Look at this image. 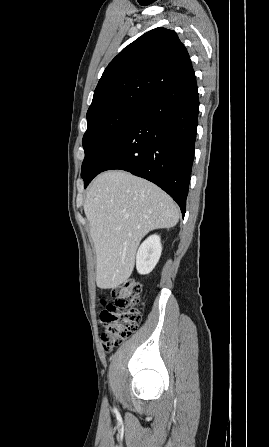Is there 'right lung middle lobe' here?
Listing matches in <instances>:
<instances>
[{"label":"right lung middle lobe","instance_id":"obj_1","mask_svg":"<svg viewBox=\"0 0 269 447\" xmlns=\"http://www.w3.org/2000/svg\"><path fill=\"white\" fill-rule=\"evenodd\" d=\"M143 105L124 106L88 119V128L83 136L85 158L81 176L86 179L89 168L111 142L124 130L130 121L141 113Z\"/></svg>","mask_w":269,"mask_h":447}]
</instances>
